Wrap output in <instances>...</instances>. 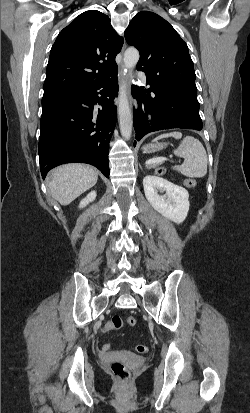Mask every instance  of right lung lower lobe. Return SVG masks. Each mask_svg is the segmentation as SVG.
I'll return each mask as SVG.
<instances>
[{"label": "right lung lower lobe", "mask_w": 250, "mask_h": 413, "mask_svg": "<svg viewBox=\"0 0 250 413\" xmlns=\"http://www.w3.org/2000/svg\"><path fill=\"white\" fill-rule=\"evenodd\" d=\"M118 69L85 89L43 96L39 162L41 175L64 163L97 167L109 178L108 148L116 124ZM101 105V108L95 107Z\"/></svg>", "instance_id": "right-lung-lower-lobe-1"}]
</instances>
